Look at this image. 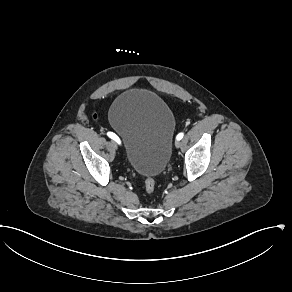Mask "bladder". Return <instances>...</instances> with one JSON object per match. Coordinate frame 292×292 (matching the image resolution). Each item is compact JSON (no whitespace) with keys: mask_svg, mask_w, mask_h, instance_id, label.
<instances>
[{"mask_svg":"<svg viewBox=\"0 0 292 292\" xmlns=\"http://www.w3.org/2000/svg\"><path fill=\"white\" fill-rule=\"evenodd\" d=\"M109 122L122 139L125 158L132 170L147 177L164 171L176 122L160 96L145 89L124 91L110 108Z\"/></svg>","mask_w":292,"mask_h":292,"instance_id":"1","label":"bladder"}]
</instances>
